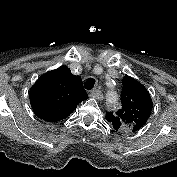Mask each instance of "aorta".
Returning <instances> with one entry per match:
<instances>
[{
    "label": "aorta",
    "instance_id": "1",
    "mask_svg": "<svg viewBox=\"0 0 177 177\" xmlns=\"http://www.w3.org/2000/svg\"><path fill=\"white\" fill-rule=\"evenodd\" d=\"M107 103L109 106H114L118 103V96L115 91L111 90L107 93Z\"/></svg>",
    "mask_w": 177,
    "mask_h": 177
}]
</instances>
